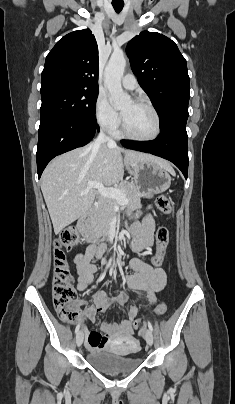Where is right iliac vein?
<instances>
[{"label": "right iliac vein", "instance_id": "1", "mask_svg": "<svg viewBox=\"0 0 235 404\" xmlns=\"http://www.w3.org/2000/svg\"><path fill=\"white\" fill-rule=\"evenodd\" d=\"M83 339H84V334L82 331L78 332L77 336H76V343L78 346H81L83 343Z\"/></svg>", "mask_w": 235, "mask_h": 404}]
</instances>
